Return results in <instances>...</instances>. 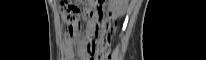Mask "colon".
Returning a JSON list of instances; mask_svg holds the SVG:
<instances>
[{"label": "colon", "instance_id": "obj_1", "mask_svg": "<svg viewBox=\"0 0 206 60\" xmlns=\"http://www.w3.org/2000/svg\"><path fill=\"white\" fill-rule=\"evenodd\" d=\"M99 6L95 8L98 10ZM60 13L64 24L72 32L81 13V5L74 1H62ZM114 27L108 22H99L95 26V36L85 44V53L91 60H108L110 56L111 38Z\"/></svg>", "mask_w": 206, "mask_h": 60}]
</instances>
